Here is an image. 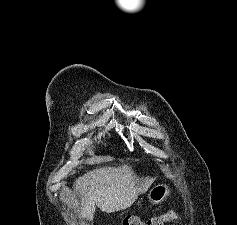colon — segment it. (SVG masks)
Returning a JSON list of instances; mask_svg holds the SVG:
<instances>
[{
  "label": "colon",
  "mask_w": 237,
  "mask_h": 225,
  "mask_svg": "<svg viewBox=\"0 0 237 225\" xmlns=\"http://www.w3.org/2000/svg\"><path fill=\"white\" fill-rule=\"evenodd\" d=\"M170 222H177V214L175 211H169L165 214L154 216L146 221L138 216H127L122 225H166Z\"/></svg>",
  "instance_id": "1"
}]
</instances>
